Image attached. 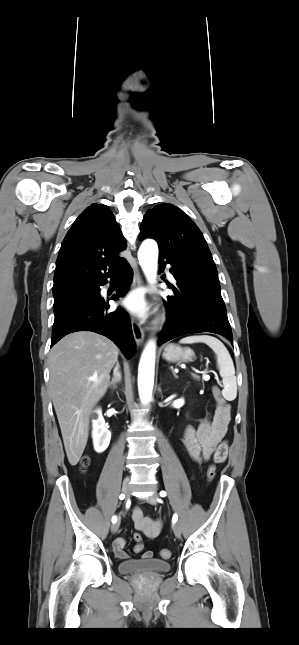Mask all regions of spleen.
<instances>
[{"label": "spleen", "instance_id": "3e777b00", "mask_svg": "<svg viewBox=\"0 0 299 645\" xmlns=\"http://www.w3.org/2000/svg\"><path fill=\"white\" fill-rule=\"evenodd\" d=\"M179 342L181 344L202 342L207 344L215 352L217 366L224 385L222 391L223 397L228 401L234 400L237 396L235 368L232 358L224 344L217 338L209 335L188 336L182 338Z\"/></svg>", "mask_w": 299, "mask_h": 645}]
</instances>
